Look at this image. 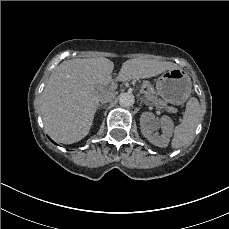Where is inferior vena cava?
I'll list each match as a JSON object with an SVG mask.
<instances>
[{"instance_id":"602c4592","label":"inferior vena cava","mask_w":229,"mask_h":229,"mask_svg":"<svg viewBox=\"0 0 229 229\" xmlns=\"http://www.w3.org/2000/svg\"><path fill=\"white\" fill-rule=\"evenodd\" d=\"M125 95H122L121 97H124ZM100 103L102 104V105H104L105 103H107V100H104V99H101L100 100Z\"/></svg>"}]
</instances>
